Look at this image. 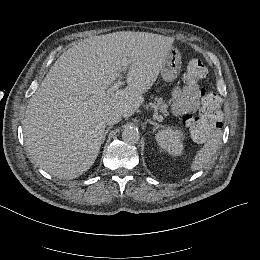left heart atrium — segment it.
Returning <instances> with one entry per match:
<instances>
[{"label":"left heart atrium","instance_id":"left-heart-atrium-1","mask_svg":"<svg viewBox=\"0 0 260 260\" xmlns=\"http://www.w3.org/2000/svg\"><path fill=\"white\" fill-rule=\"evenodd\" d=\"M119 116V112L113 106L102 107L91 113V119L100 124L115 122Z\"/></svg>","mask_w":260,"mask_h":260}]
</instances>
